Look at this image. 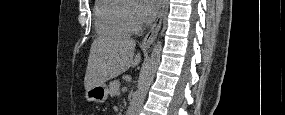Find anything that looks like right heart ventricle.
Masks as SVG:
<instances>
[{"mask_svg": "<svg viewBox=\"0 0 285 115\" xmlns=\"http://www.w3.org/2000/svg\"><path fill=\"white\" fill-rule=\"evenodd\" d=\"M95 29L102 37H121L132 33L135 26L123 1L99 0L95 5Z\"/></svg>", "mask_w": 285, "mask_h": 115, "instance_id": "1", "label": "right heart ventricle"}]
</instances>
